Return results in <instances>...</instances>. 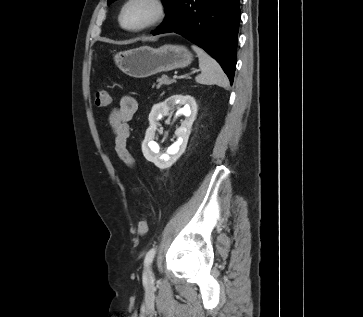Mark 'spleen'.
Here are the masks:
<instances>
[{"instance_id":"obj_1","label":"spleen","mask_w":363,"mask_h":317,"mask_svg":"<svg viewBox=\"0 0 363 317\" xmlns=\"http://www.w3.org/2000/svg\"><path fill=\"white\" fill-rule=\"evenodd\" d=\"M192 49L198 55L201 69V74L195 78L196 82L200 84H217L227 88L229 80L219 63L200 47L192 45Z\"/></svg>"}]
</instances>
